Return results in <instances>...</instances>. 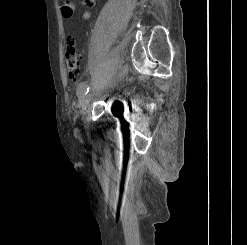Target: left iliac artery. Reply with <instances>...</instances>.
Returning <instances> with one entry per match:
<instances>
[{
    "mask_svg": "<svg viewBox=\"0 0 247 245\" xmlns=\"http://www.w3.org/2000/svg\"><path fill=\"white\" fill-rule=\"evenodd\" d=\"M89 90H90V87L86 83H81L79 85L78 90H77V95L79 97H82V96L86 95L89 92Z\"/></svg>",
    "mask_w": 247,
    "mask_h": 245,
    "instance_id": "left-iliac-artery-1",
    "label": "left iliac artery"
}]
</instances>
